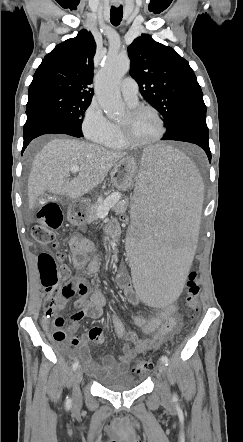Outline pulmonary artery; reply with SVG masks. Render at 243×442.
Returning a JSON list of instances; mask_svg holds the SVG:
<instances>
[{"instance_id":"1","label":"pulmonary artery","mask_w":243,"mask_h":442,"mask_svg":"<svg viewBox=\"0 0 243 442\" xmlns=\"http://www.w3.org/2000/svg\"><path fill=\"white\" fill-rule=\"evenodd\" d=\"M121 92L124 97V99L130 104V105H136L138 102V85L137 82L131 78L127 77L125 78L121 83Z\"/></svg>"}]
</instances>
